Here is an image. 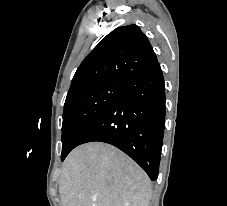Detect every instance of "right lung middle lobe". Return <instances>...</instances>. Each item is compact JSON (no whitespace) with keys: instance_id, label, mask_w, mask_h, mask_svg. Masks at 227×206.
Segmentation results:
<instances>
[{"instance_id":"dd1d6c3e","label":"right lung middle lobe","mask_w":227,"mask_h":206,"mask_svg":"<svg viewBox=\"0 0 227 206\" xmlns=\"http://www.w3.org/2000/svg\"><path fill=\"white\" fill-rule=\"evenodd\" d=\"M125 82L107 80L89 85L67 96L62 124L63 161L77 146L83 133L124 91Z\"/></svg>"}]
</instances>
